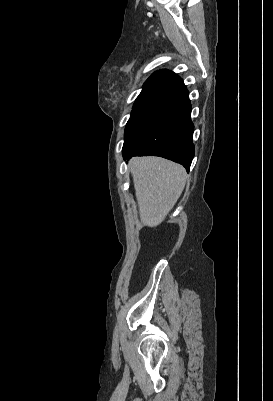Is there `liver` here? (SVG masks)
<instances>
[{
	"mask_svg": "<svg viewBox=\"0 0 273 401\" xmlns=\"http://www.w3.org/2000/svg\"><path fill=\"white\" fill-rule=\"evenodd\" d=\"M129 162L141 223L157 227L183 192L185 168L160 156H138Z\"/></svg>",
	"mask_w": 273,
	"mask_h": 401,
	"instance_id": "liver-1",
	"label": "liver"
}]
</instances>
